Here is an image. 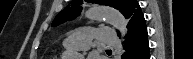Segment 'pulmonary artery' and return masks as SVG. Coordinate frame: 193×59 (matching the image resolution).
Wrapping results in <instances>:
<instances>
[{"instance_id":"obj_1","label":"pulmonary artery","mask_w":193,"mask_h":59,"mask_svg":"<svg viewBox=\"0 0 193 59\" xmlns=\"http://www.w3.org/2000/svg\"><path fill=\"white\" fill-rule=\"evenodd\" d=\"M95 39H98L100 42L106 43L109 46L120 45L118 36L108 32L105 28L94 29L85 27L74 32H69L64 40V47L85 49L88 48Z\"/></svg>"}]
</instances>
